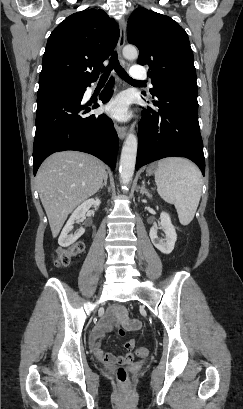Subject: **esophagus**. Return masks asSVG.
Listing matches in <instances>:
<instances>
[{"instance_id":"esophagus-1","label":"esophagus","mask_w":243,"mask_h":409,"mask_svg":"<svg viewBox=\"0 0 243 409\" xmlns=\"http://www.w3.org/2000/svg\"><path fill=\"white\" fill-rule=\"evenodd\" d=\"M119 31H120V36H119L117 50H118V54H119V58H120V63H121V65L123 67H125L126 66V61L124 60V58L122 56V49H123V47L125 45V39H126V23H125V20L123 18H121L119 20ZM115 129L117 131L118 137L120 139H124L126 134H127L126 127L115 124Z\"/></svg>"}]
</instances>
